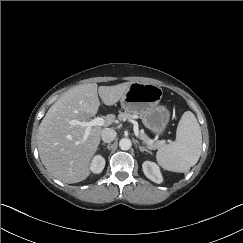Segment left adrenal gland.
Wrapping results in <instances>:
<instances>
[{
	"label": "left adrenal gland",
	"mask_w": 243,
	"mask_h": 243,
	"mask_svg": "<svg viewBox=\"0 0 243 243\" xmlns=\"http://www.w3.org/2000/svg\"><path fill=\"white\" fill-rule=\"evenodd\" d=\"M139 150L141 151V152H148V153H150L151 154V151H149L147 148H145V147H143V146H141V145H139Z\"/></svg>",
	"instance_id": "1"
}]
</instances>
